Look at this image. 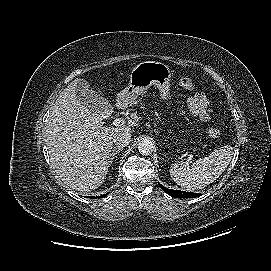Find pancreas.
I'll list each match as a JSON object with an SVG mask.
<instances>
[{
  "label": "pancreas",
  "mask_w": 271,
  "mask_h": 271,
  "mask_svg": "<svg viewBox=\"0 0 271 271\" xmlns=\"http://www.w3.org/2000/svg\"><path fill=\"white\" fill-rule=\"evenodd\" d=\"M155 114L158 116V113H157V112H155Z\"/></svg>",
  "instance_id": "pancreas-1"
}]
</instances>
